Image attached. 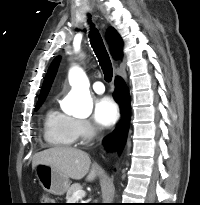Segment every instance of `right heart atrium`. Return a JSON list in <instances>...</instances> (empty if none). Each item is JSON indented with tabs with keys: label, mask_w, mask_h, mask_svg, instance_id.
<instances>
[{
	"label": "right heart atrium",
	"mask_w": 200,
	"mask_h": 205,
	"mask_svg": "<svg viewBox=\"0 0 200 205\" xmlns=\"http://www.w3.org/2000/svg\"><path fill=\"white\" fill-rule=\"evenodd\" d=\"M74 133L76 139L88 142L96 136L97 129L87 119H74Z\"/></svg>",
	"instance_id": "d8ad5b80"
}]
</instances>
